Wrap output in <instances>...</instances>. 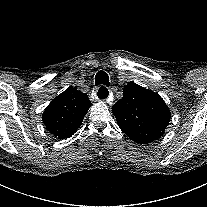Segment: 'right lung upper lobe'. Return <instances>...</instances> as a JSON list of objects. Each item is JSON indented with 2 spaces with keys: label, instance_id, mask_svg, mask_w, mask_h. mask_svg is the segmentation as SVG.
<instances>
[{
  "label": "right lung upper lobe",
  "instance_id": "1",
  "mask_svg": "<svg viewBox=\"0 0 207 207\" xmlns=\"http://www.w3.org/2000/svg\"><path fill=\"white\" fill-rule=\"evenodd\" d=\"M91 104L85 93L68 88L46 107L43 123L55 137L69 138L80 127Z\"/></svg>",
  "mask_w": 207,
  "mask_h": 207
}]
</instances>
